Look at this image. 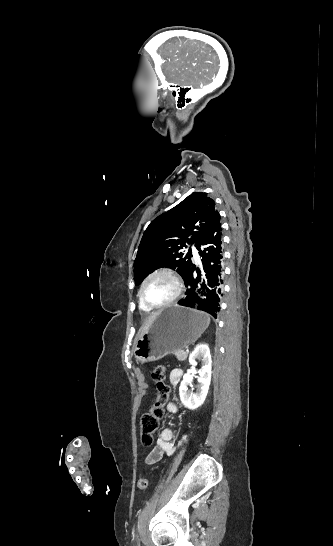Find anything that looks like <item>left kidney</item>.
Wrapping results in <instances>:
<instances>
[{
    "instance_id": "left-kidney-1",
    "label": "left kidney",
    "mask_w": 333,
    "mask_h": 546,
    "mask_svg": "<svg viewBox=\"0 0 333 546\" xmlns=\"http://www.w3.org/2000/svg\"><path fill=\"white\" fill-rule=\"evenodd\" d=\"M202 362V369L198 372V390L196 393L188 392V387L191 386L193 376L197 372L196 365L197 360ZM190 369L184 374L183 380L179 387V395L182 404L190 409L194 410L201 406L207 396L212 373V360L210 349L207 344H199L189 356Z\"/></svg>"
}]
</instances>
